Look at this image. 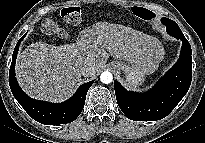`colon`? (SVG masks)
<instances>
[{
    "instance_id": "1",
    "label": "colon",
    "mask_w": 205,
    "mask_h": 143,
    "mask_svg": "<svg viewBox=\"0 0 205 143\" xmlns=\"http://www.w3.org/2000/svg\"><path fill=\"white\" fill-rule=\"evenodd\" d=\"M132 13L143 20H153L155 14L144 7H133ZM62 19L71 26H77L81 22V9L78 6H68L61 10ZM43 33L59 39H67L69 33L61 28L57 21L52 17H47L41 25Z\"/></svg>"
}]
</instances>
